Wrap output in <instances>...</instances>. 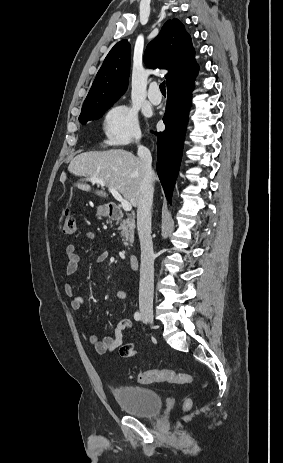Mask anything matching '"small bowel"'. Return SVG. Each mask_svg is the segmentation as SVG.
<instances>
[{"instance_id":"1","label":"small bowel","mask_w":283,"mask_h":463,"mask_svg":"<svg viewBox=\"0 0 283 463\" xmlns=\"http://www.w3.org/2000/svg\"><path fill=\"white\" fill-rule=\"evenodd\" d=\"M87 239L89 241H95L96 234L94 232H88ZM65 254L67 258L65 277L67 279H72L76 274L79 263V255L77 254L75 245H67ZM108 255L109 253L107 251H103L96 256L95 260L97 263H102L108 258ZM64 291L70 299V305L73 310L78 311L84 306L83 298L75 294L72 284L66 283ZM115 295L116 298L122 302H125L128 299L127 293L122 290L117 291ZM132 326L133 323L131 320L124 319L117 324L113 336H106L103 339H99L97 335L87 330L89 342L94 346L96 352L99 354L113 353L115 350L120 349L119 352L121 356L130 358L136 353L135 345L133 342L123 343V332L132 328ZM123 349L124 352H122Z\"/></svg>"}]
</instances>
